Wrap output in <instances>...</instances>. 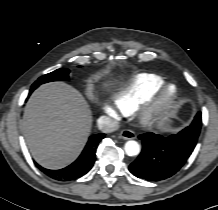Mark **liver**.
I'll list each match as a JSON object with an SVG mask.
<instances>
[{
	"instance_id": "1",
	"label": "liver",
	"mask_w": 218,
	"mask_h": 210,
	"mask_svg": "<svg viewBox=\"0 0 218 210\" xmlns=\"http://www.w3.org/2000/svg\"><path fill=\"white\" fill-rule=\"evenodd\" d=\"M91 125L92 115L86 100L64 82L41 85L29 98L23 115L30 152L37 163L48 169L63 168L79 156Z\"/></svg>"
}]
</instances>
